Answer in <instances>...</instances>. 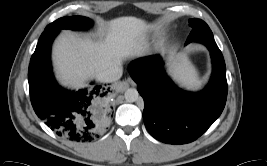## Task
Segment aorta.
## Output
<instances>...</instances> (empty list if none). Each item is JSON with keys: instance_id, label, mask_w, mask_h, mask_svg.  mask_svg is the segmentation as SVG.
Listing matches in <instances>:
<instances>
[{"instance_id": "1", "label": "aorta", "mask_w": 267, "mask_h": 166, "mask_svg": "<svg viewBox=\"0 0 267 166\" xmlns=\"http://www.w3.org/2000/svg\"><path fill=\"white\" fill-rule=\"evenodd\" d=\"M124 96L127 102H136L139 98V93L135 88H129L125 91Z\"/></svg>"}]
</instances>
